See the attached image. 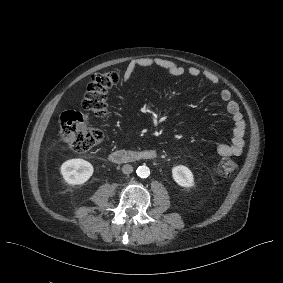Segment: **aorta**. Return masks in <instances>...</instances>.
Segmentation results:
<instances>
[{"mask_svg":"<svg viewBox=\"0 0 283 283\" xmlns=\"http://www.w3.org/2000/svg\"><path fill=\"white\" fill-rule=\"evenodd\" d=\"M136 173L140 178H147L150 175V169L147 166H139Z\"/></svg>","mask_w":283,"mask_h":283,"instance_id":"1","label":"aorta"}]
</instances>
